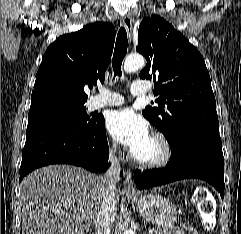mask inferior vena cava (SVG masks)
<instances>
[{"instance_id":"1","label":"inferior vena cava","mask_w":241,"mask_h":234,"mask_svg":"<svg viewBox=\"0 0 241 234\" xmlns=\"http://www.w3.org/2000/svg\"><path fill=\"white\" fill-rule=\"evenodd\" d=\"M115 150L116 146H113L109 154L110 167L100 177L102 201L93 219L96 234H110L117 213L115 192L116 183L119 180L120 165L115 156Z\"/></svg>"}]
</instances>
